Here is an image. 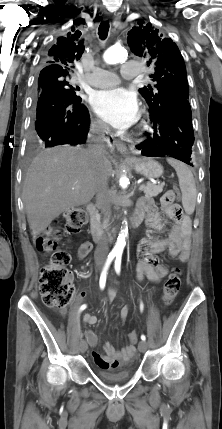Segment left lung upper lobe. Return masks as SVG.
I'll return each instance as SVG.
<instances>
[{
  "label": "left lung upper lobe",
  "mask_w": 222,
  "mask_h": 429,
  "mask_svg": "<svg viewBox=\"0 0 222 429\" xmlns=\"http://www.w3.org/2000/svg\"><path fill=\"white\" fill-rule=\"evenodd\" d=\"M127 42L135 55L148 59V65L155 67L150 76L157 82L155 87L139 89L151 112H157L169 99L189 98L185 63L172 39L163 38L151 23L139 21L128 32Z\"/></svg>",
  "instance_id": "1"
}]
</instances>
